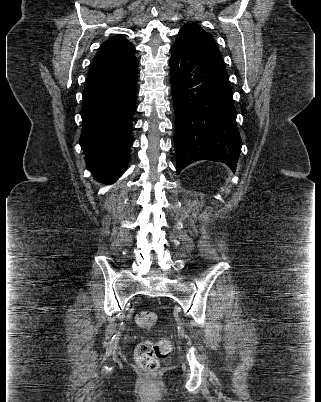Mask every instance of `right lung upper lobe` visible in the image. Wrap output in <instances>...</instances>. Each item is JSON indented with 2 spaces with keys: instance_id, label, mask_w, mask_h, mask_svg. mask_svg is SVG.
<instances>
[{
  "instance_id": "cb5924a9",
  "label": "right lung upper lobe",
  "mask_w": 321,
  "mask_h": 402,
  "mask_svg": "<svg viewBox=\"0 0 321 402\" xmlns=\"http://www.w3.org/2000/svg\"><path fill=\"white\" fill-rule=\"evenodd\" d=\"M134 53V46L123 35H116L100 46L92 69H122L137 65Z\"/></svg>"
}]
</instances>
